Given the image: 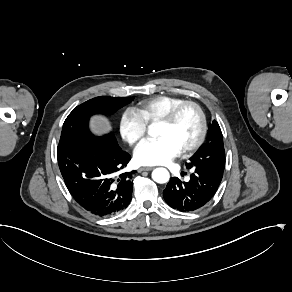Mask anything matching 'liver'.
Here are the masks:
<instances>
[{"instance_id": "1", "label": "liver", "mask_w": 292, "mask_h": 292, "mask_svg": "<svg viewBox=\"0 0 292 292\" xmlns=\"http://www.w3.org/2000/svg\"><path fill=\"white\" fill-rule=\"evenodd\" d=\"M93 124L94 127L99 131L107 129V124L101 119L94 120Z\"/></svg>"}]
</instances>
